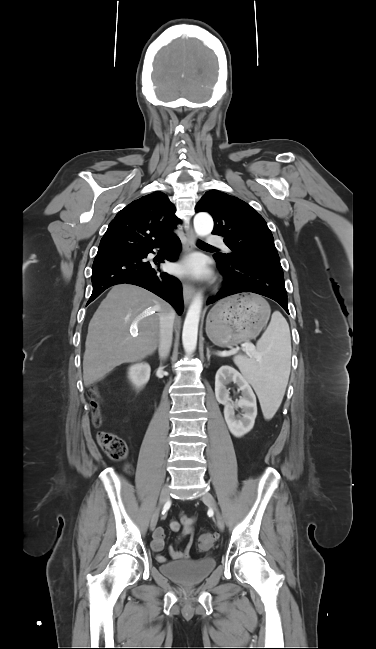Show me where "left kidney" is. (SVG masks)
I'll return each mask as SVG.
<instances>
[{
    "label": "left kidney",
    "mask_w": 376,
    "mask_h": 649,
    "mask_svg": "<svg viewBox=\"0 0 376 649\" xmlns=\"http://www.w3.org/2000/svg\"><path fill=\"white\" fill-rule=\"evenodd\" d=\"M234 382L242 393L239 401L233 403L227 385ZM215 396L224 405V417L230 432L241 437L254 426L257 416L256 396L246 378L230 366H222L215 376ZM242 409V417L235 415V408Z\"/></svg>",
    "instance_id": "5707ae66"
}]
</instances>
